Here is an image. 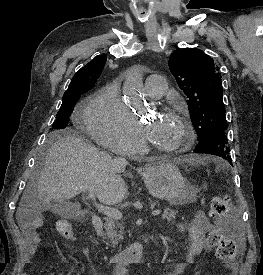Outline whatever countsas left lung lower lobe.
<instances>
[{
  "label": "left lung lower lobe",
  "mask_w": 263,
  "mask_h": 275,
  "mask_svg": "<svg viewBox=\"0 0 263 275\" xmlns=\"http://www.w3.org/2000/svg\"><path fill=\"white\" fill-rule=\"evenodd\" d=\"M229 148L226 132L221 131L199 141L194 149V152L217 155L231 162Z\"/></svg>",
  "instance_id": "left-lung-lower-lobe-1"
}]
</instances>
